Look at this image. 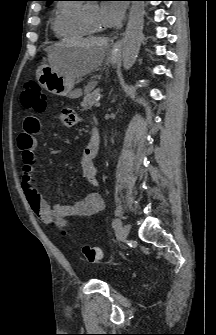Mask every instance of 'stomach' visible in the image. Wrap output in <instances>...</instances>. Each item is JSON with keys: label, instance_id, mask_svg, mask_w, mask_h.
Wrapping results in <instances>:
<instances>
[{"label": "stomach", "instance_id": "obj_1", "mask_svg": "<svg viewBox=\"0 0 216 335\" xmlns=\"http://www.w3.org/2000/svg\"><path fill=\"white\" fill-rule=\"evenodd\" d=\"M78 51V48L69 45H55L48 49L49 65L42 66L36 71V79L48 92L69 98H78L82 95L80 89H75V78L63 72L62 68ZM119 52L112 49L108 55V62L115 64Z\"/></svg>", "mask_w": 216, "mask_h": 335}]
</instances>
